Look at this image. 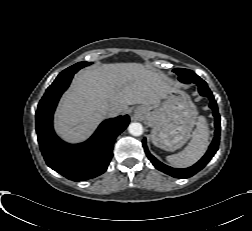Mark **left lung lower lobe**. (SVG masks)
<instances>
[{"instance_id":"left-lung-lower-lobe-1","label":"left lung lower lobe","mask_w":252,"mask_h":231,"mask_svg":"<svg viewBox=\"0 0 252 231\" xmlns=\"http://www.w3.org/2000/svg\"><path fill=\"white\" fill-rule=\"evenodd\" d=\"M183 83L197 84L199 93L202 96H206L209 98L210 108L214 112L213 115L215 117L216 130L214 132V139H213L212 143L210 144L209 149L206 152V154L202 157V159H200V161H198L195 165H193L189 168H185V169L172 168V167H169V166L161 163L154 156H152L150 154V152L148 151L147 145H146V138H144L142 141V144H143V147H144V150H145L147 157L149 158V160L152 162V164L158 170H160L168 175H171L175 178H181V179H185V178L193 176L194 174L199 172L201 169H203L206 166V164L211 160V158L214 156V154L216 153V151L218 150V147H219L220 129H221L220 128V115L218 113L217 103L213 97L212 92L208 88L206 82L204 80H202L199 76H197L195 78H189L188 80H186V82H183Z\"/></svg>"}]
</instances>
